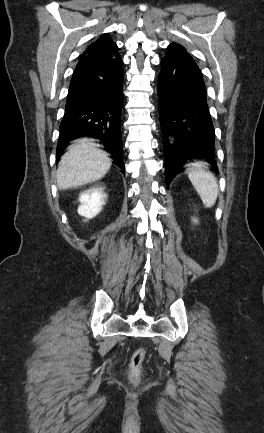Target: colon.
<instances>
[{"label": "colon", "mask_w": 264, "mask_h": 433, "mask_svg": "<svg viewBox=\"0 0 264 433\" xmlns=\"http://www.w3.org/2000/svg\"><path fill=\"white\" fill-rule=\"evenodd\" d=\"M146 352L143 348H138L131 356L128 375L133 384L139 383L142 375L143 363Z\"/></svg>", "instance_id": "1"}]
</instances>
